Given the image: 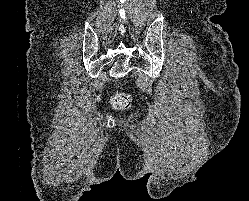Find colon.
I'll use <instances>...</instances> for the list:
<instances>
[{
    "instance_id": "1",
    "label": "colon",
    "mask_w": 249,
    "mask_h": 201,
    "mask_svg": "<svg viewBox=\"0 0 249 201\" xmlns=\"http://www.w3.org/2000/svg\"><path fill=\"white\" fill-rule=\"evenodd\" d=\"M111 104L117 109H127L131 105V99L123 93H115L111 96Z\"/></svg>"
}]
</instances>
